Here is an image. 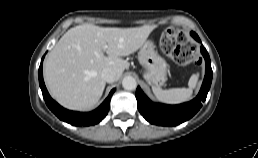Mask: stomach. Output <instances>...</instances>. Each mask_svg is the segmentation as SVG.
<instances>
[{"label":"stomach","mask_w":258,"mask_h":158,"mask_svg":"<svg viewBox=\"0 0 258 158\" xmlns=\"http://www.w3.org/2000/svg\"><path fill=\"white\" fill-rule=\"evenodd\" d=\"M138 60L145 69L143 77L150 85L159 87L165 83L167 63L158 54L152 41H146L142 45Z\"/></svg>","instance_id":"stomach-1"}]
</instances>
